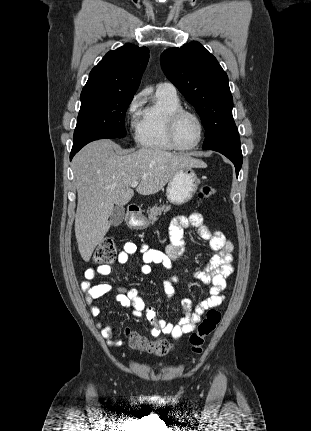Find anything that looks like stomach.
Wrapping results in <instances>:
<instances>
[{
  "instance_id": "stomach-1",
  "label": "stomach",
  "mask_w": 311,
  "mask_h": 431,
  "mask_svg": "<svg viewBox=\"0 0 311 431\" xmlns=\"http://www.w3.org/2000/svg\"><path fill=\"white\" fill-rule=\"evenodd\" d=\"M199 184V178L193 168H182L168 182L166 198L173 206H183L195 196ZM126 225L130 229H145L149 221L146 216H130L126 219Z\"/></svg>"
}]
</instances>
